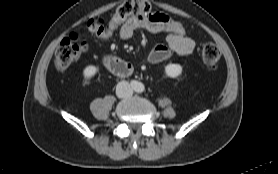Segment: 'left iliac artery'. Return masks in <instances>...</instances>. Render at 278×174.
Returning <instances> with one entry per match:
<instances>
[{"label": "left iliac artery", "mask_w": 278, "mask_h": 174, "mask_svg": "<svg viewBox=\"0 0 278 174\" xmlns=\"http://www.w3.org/2000/svg\"><path fill=\"white\" fill-rule=\"evenodd\" d=\"M143 90V87L140 85L138 88V91L141 92Z\"/></svg>", "instance_id": "obj_1"}]
</instances>
